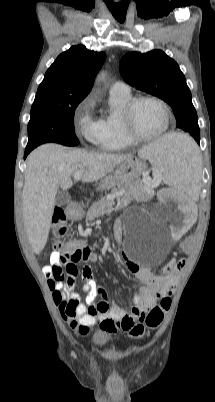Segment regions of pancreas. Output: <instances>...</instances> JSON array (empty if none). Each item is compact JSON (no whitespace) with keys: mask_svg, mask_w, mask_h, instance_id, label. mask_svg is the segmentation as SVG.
I'll return each mask as SVG.
<instances>
[{"mask_svg":"<svg viewBox=\"0 0 215 402\" xmlns=\"http://www.w3.org/2000/svg\"><path fill=\"white\" fill-rule=\"evenodd\" d=\"M151 188L152 185H145L138 181L125 186H120L118 189H113L112 194L101 198V200L91 205L87 212L86 220L93 221L96 218L103 217L105 214H110L112 211H119L130 204L138 192H145ZM117 192H122V194L113 197ZM114 198L117 199V205L115 208H112Z\"/></svg>","mask_w":215,"mask_h":402,"instance_id":"obj_1","label":"pancreas"}]
</instances>
